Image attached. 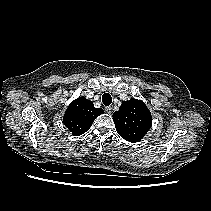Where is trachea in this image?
I'll return each mask as SVG.
<instances>
[{"label":"trachea","mask_w":211,"mask_h":211,"mask_svg":"<svg viewBox=\"0 0 211 211\" xmlns=\"http://www.w3.org/2000/svg\"><path fill=\"white\" fill-rule=\"evenodd\" d=\"M102 102L105 106H109L112 103V97L109 93H104L102 96Z\"/></svg>","instance_id":"trachea-1"}]
</instances>
